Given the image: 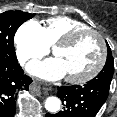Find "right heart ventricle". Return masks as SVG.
Instances as JSON below:
<instances>
[{
	"mask_svg": "<svg viewBox=\"0 0 117 117\" xmlns=\"http://www.w3.org/2000/svg\"><path fill=\"white\" fill-rule=\"evenodd\" d=\"M44 41L48 46H53L60 38L67 33L87 28V26L71 17L56 16L46 19L41 25Z\"/></svg>",
	"mask_w": 117,
	"mask_h": 117,
	"instance_id": "obj_1",
	"label": "right heart ventricle"
}]
</instances>
